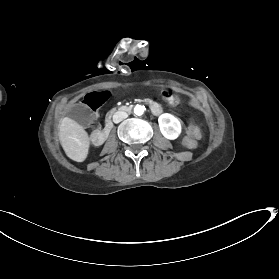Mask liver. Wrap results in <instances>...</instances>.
I'll list each match as a JSON object with an SVG mask.
<instances>
[{"mask_svg": "<svg viewBox=\"0 0 279 279\" xmlns=\"http://www.w3.org/2000/svg\"><path fill=\"white\" fill-rule=\"evenodd\" d=\"M59 140L66 156L77 163L87 158L90 140L81 124L64 117L59 127Z\"/></svg>", "mask_w": 279, "mask_h": 279, "instance_id": "liver-1", "label": "liver"}]
</instances>
